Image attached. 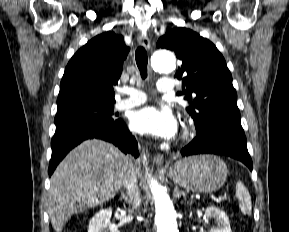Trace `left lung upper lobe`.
Masks as SVG:
<instances>
[{"label": "left lung upper lobe", "mask_w": 289, "mask_h": 232, "mask_svg": "<svg viewBox=\"0 0 289 232\" xmlns=\"http://www.w3.org/2000/svg\"><path fill=\"white\" fill-rule=\"evenodd\" d=\"M157 47L174 51L182 63L175 74L183 85L178 95H185L190 103L186 110L194 120L196 133L219 126H241L231 73L212 42L179 27L160 37Z\"/></svg>", "instance_id": "1"}]
</instances>
